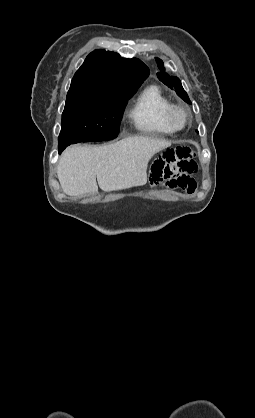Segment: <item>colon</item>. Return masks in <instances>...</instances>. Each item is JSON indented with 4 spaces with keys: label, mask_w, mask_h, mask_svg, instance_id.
Segmentation results:
<instances>
[{
    "label": "colon",
    "mask_w": 255,
    "mask_h": 418,
    "mask_svg": "<svg viewBox=\"0 0 255 418\" xmlns=\"http://www.w3.org/2000/svg\"><path fill=\"white\" fill-rule=\"evenodd\" d=\"M195 154L189 147L170 148L155 160L150 183L154 187L166 185L193 193L196 182L192 174L196 171Z\"/></svg>",
    "instance_id": "colon-1"
}]
</instances>
